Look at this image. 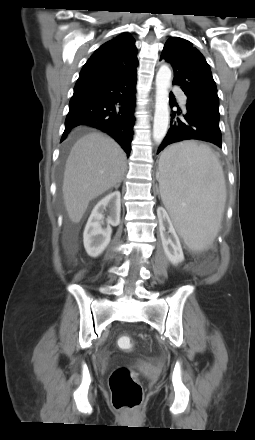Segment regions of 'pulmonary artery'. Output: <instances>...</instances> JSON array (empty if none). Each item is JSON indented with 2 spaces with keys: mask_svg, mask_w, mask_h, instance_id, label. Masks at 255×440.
I'll list each match as a JSON object with an SVG mask.
<instances>
[{
  "mask_svg": "<svg viewBox=\"0 0 255 440\" xmlns=\"http://www.w3.org/2000/svg\"><path fill=\"white\" fill-rule=\"evenodd\" d=\"M173 91L179 96L182 105L186 103V96L181 92L179 87H174Z\"/></svg>",
  "mask_w": 255,
  "mask_h": 440,
  "instance_id": "obj_1",
  "label": "pulmonary artery"
}]
</instances>
